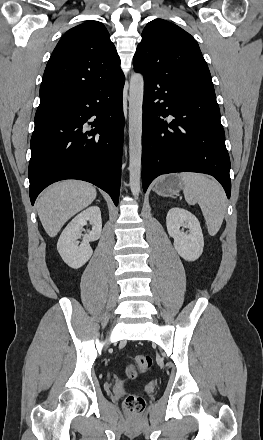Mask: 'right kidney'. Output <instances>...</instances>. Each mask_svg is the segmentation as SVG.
Listing matches in <instances>:
<instances>
[{"mask_svg": "<svg viewBox=\"0 0 263 440\" xmlns=\"http://www.w3.org/2000/svg\"><path fill=\"white\" fill-rule=\"evenodd\" d=\"M92 225V230L84 235L81 244L78 239L82 236V228L87 223ZM102 232L101 211L97 206H91L79 213L66 226L59 237L57 250L63 261L71 268L82 267L92 256L93 250L89 244L100 238Z\"/></svg>", "mask_w": 263, "mask_h": 440, "instance_id": "right-kidney-1", "label": "right kidney"}]
</instances>
